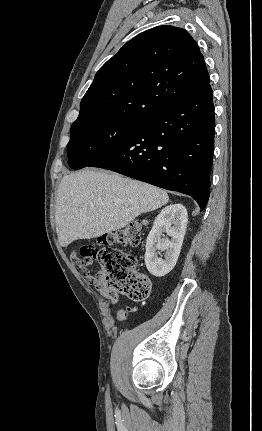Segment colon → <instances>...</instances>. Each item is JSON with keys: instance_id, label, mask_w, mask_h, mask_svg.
<instances>
[{"instance_id": "colon-1", "label": "colon", "mask_w": 262, "mask_h": 431, "mask_svg": "<svg viewBox=\"0 0 262 431\" xmlns=\"http://www.w3.org/2000/svg\"><path fill=\"white\" fill-rule=\"evenodd\" d=\"M143 229V223H131L123 229L104 235L96 246L83 247L73 252L72 258L78 273L82 276L91 275L89 265L95 263L100 267L95 278L104 286L124 293L130 300L146 301L151 291L149 278L137 270L138 260L134 255L116 248L117 245H138Z\"/></svg>"}]
</instances>
